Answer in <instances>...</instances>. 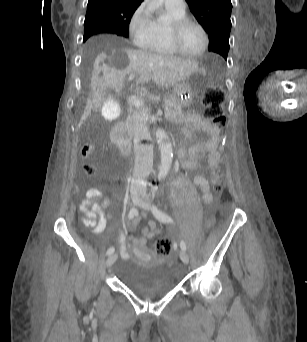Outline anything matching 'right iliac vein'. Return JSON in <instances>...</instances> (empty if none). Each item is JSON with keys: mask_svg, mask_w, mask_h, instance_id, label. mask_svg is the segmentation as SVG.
Segmentation results:
<instances>
[{"mask_svg": "<svg viewBox=\"0 0 307 342\" xmlns=\"http://www.w3.org/2000/svg\"><path fill=\"white\" fill-rule=\"evenodd\" d=\"M140 198L139 197H132V201H133V204L134 205H138L139 203H140ZM117 256H118V254L117 253H112L109 257H108V259H107V261H106V266L107 267H110L115 261H116V259H117Z\"/></svg>", "mask_w": 307, "mask_h": 342, "instance_id": "63e3f726", "label": "right iliac vein"}]
</instances>
